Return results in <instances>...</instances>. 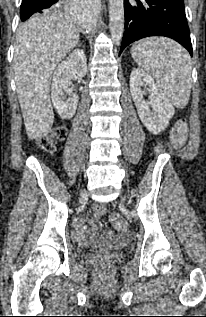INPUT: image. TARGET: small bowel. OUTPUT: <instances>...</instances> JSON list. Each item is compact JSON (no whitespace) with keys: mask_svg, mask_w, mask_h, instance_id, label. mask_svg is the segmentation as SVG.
I'll return each instance as SVG.
<instances>
[{"mask_svg":"<svg viewBox=\"0 0 206 317\" xmlns=\"http://www.w3.org/2000/svg\"><path fill=\"white\" fill-rule=\"evenodd\" d=\"M99 228H100V225L95 220L89 221V228H87L84 221L78 220L74 224V234L80 243H84L90 237L94 236L98 232ZM110 236H112L111 233H110ZM130 236H131L130 232L127 230H124L121 240L127 241L129 240Z\"/></svg>","mask_w":206,"mask_h":317,"instance_id":"obj_1","label":"small bowel"}]
</instances>
